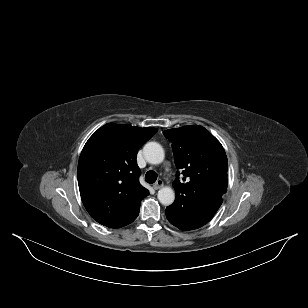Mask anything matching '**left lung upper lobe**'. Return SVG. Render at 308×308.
I'll return each mask as SVG.
<instances>
[{
  "label": "left lung upper lobe",
  "mask_w": 308,
  "mask_h": 308,
  "mask_svg": "<svg viewBox=\"0 0 308 308\" xmlns=\"http://www.w3.org/2000/svg\"><path fill=\"white\" fill-rule=\"evenodd\" d=\"M163 134L172 142L184 181L177 174L176 199L169 207L185 212L222 199L227 192L228 161L221 143L202 126L169 129Z\"/></svg>",
  "instance_id": "obj_1"
}]
</instances>
